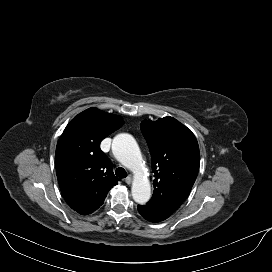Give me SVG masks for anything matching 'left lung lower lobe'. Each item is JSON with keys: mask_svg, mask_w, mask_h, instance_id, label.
I'll list each match as a JSON object with an SVG mask.
<instances>
[{"mask_svg": "<svg viewBox=\"0 0 272 272\" xmlns=\"http://www.w3.org/2000/svg\"><path fill=\"white\" fill-rule=\"evenodd\" d=\"M138 211L142 217L150 222H160L165 220L167 217L155 212L145 205H138Z\"/></svg>", "mask_w": 272, "mask_h": 272, "instance_id": "left-lung-lower-lobe-1", "label": "left lung lower lobe"}]
</instances>
